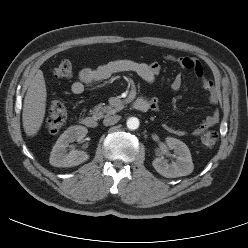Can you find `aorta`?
I'll return each mask as SVG.
<instances>
[{"label": "aorta", "instance_id": "1", "mask_svg": "<svg viewBox=\"0 0 248 248\" xmlns=\"http://www.w3.org/2000/svg\"><path fill=\"white\" fill-rule=\"evenodd\" d=\"M127 128L130 129V130H136L139 125H140V122H139V119L137 117H130L127 122Z\"/></svg>", "mask_w": 248, "mask_h": 248}]
</instances>
